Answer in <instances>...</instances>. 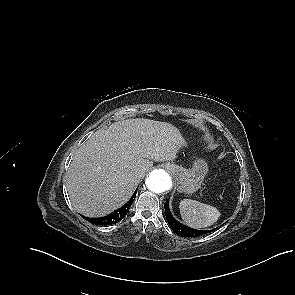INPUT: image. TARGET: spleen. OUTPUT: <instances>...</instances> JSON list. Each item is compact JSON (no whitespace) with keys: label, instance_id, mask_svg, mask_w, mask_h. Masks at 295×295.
Segmentation results:
<instances>
[{"label":"spleen","instance_id":"1","mask_svg":"<svg viewBox=\"0 0 295 295\" xmlns=\"http://www.w3.org/2000/svg\"><path fill=\"white\" fill-rule=\"evenodd\" d=\"M183 221L200 229L213 225L221 216L217 208L192 199H183L179 205Z\"/></svg>","mask_w":295,"mask_h":295}]
</instances>
